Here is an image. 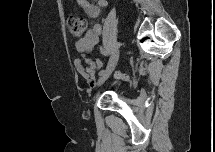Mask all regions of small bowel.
<instances>
[{
  "instance_id": "obj_1",
  "label": "small bowel",
  "mask_w": 215,
  "mask_h": 152,
  "mask_svg": "<svg viewBox=\"0 0 215 152\" xmlns=\"http://www.w3.org/2000/svg\"><path fill=\"white\" fill-rule=\"evenodd\" d=\"M78 5L89 15L91 18L96 19L102 8L107 5L106 0H77ZM102 33V26L99 23H95L85 34L76 42V49L81 55H85L93 50V48L99 43L100 35ZM75 69L80 73L87 85L93 86L95 81L91 74L86 72V66L80 59L74 61Z\"/></svg>"
}]
</instances>
